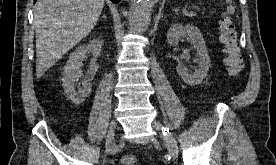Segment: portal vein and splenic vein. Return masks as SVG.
<instances>
[{
  "label": "portal vein and splenic vein",
  "mask_w": 276,
  "mask_h": 165,
  "mask_svg": "<svg viewBox=\"0 0 276 165\" xmlns=\"http://www.w3.org/2000/svg\"><path fill=\"white\" fill-rule=\"evenodd\" d=\"M194 14H195V13L191 11V12L189 13V17H192Z\"/></svg>",
  "instance_id": "1"
}]
</instances>
